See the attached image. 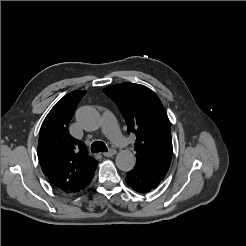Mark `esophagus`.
Wrapping results in <instances>:
<instances>
[{
	"label": "esophagus",
	"instance_id": "esophagus-1",
	"mask_svg": "<svg viewBox=\"0 0 246 246\" xmlns=\"http://www.w3.org/2000/svg\"><path fill=\"white\" fill-rule=\"evenodd\" d=\"M115 154H116V150L115 149H110L108 152L103 153V155L105 157H112Z\"/></svg>",
	"mask_w": 246,
	"mask_h": 246
}]
</instances>
